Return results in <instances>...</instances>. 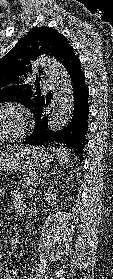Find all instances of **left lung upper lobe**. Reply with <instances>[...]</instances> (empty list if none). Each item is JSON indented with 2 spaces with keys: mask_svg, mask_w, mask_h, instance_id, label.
I'll return each mask as SVG.
<instances>
[{
  "mask_svg": "<svg viewBox=\"0 0 113 279\" xmlns=\"http://www.w3.org/2000/svg\"><path fill=\"white\" fill-rule=\"evenodd\" d=\"M71 49L66 38L54 29L43 26L29 31L0 59V103L17 101L33 112L44 97L39 87L41 78L36 76L35 88L28 82L37 58L47 54L62 63Z\"/></svg>",
  "mask_w": 113,
  "mask_h": 279,
  "instance_id": "1",
  "label": "left lung upper lobe"
}]
</instances>
